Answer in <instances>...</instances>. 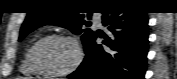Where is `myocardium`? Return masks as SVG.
I'll use <instances>...</instances> for the list:
<instances>
[{
	"mask_svg": "<svg viewBox=\"0 0 177 79\" xmlns=\"http://www.w3.org/2000/svg\"><path fill=\"white\" fill-rule=\"evenodd\" d=\"M52 39L66 40V41L71 42L74 45V47L76 49V58H75V61L72 63V65L70 67H68L67 69L54 72V71H50L48 69H45L38 62V59H37L38 49L45 42H47L49 40H52ZM83 59H84V52H83V48H82L81 44L79 43V41L74 36L68 35V34H49V35H46V36L40 38L34 44V46L32 47V50H31V63H32L33 67L39 73H41L43 75L65 76V75L71 74L81 66V64L83 62Z\"/></svg>",
	"mask_w": 177,
	"mask_h": 79,
	"instance_id": "1",
	"label": "myocardium"
}]
</instances>
